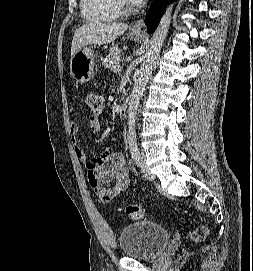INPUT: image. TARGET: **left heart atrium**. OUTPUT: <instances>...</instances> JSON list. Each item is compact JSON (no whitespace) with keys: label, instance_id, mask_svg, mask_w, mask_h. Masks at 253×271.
Here are the masks:
<instances>
[{"label":"left heart atrium","instance_id":"obj_1","mask_svg":"<svg viewBox=\"0 0 253 271\" xmlns=\"http://www.w3.org/2000/svg\"><path fill=\"white\" fill-rule=\"evenodd\" d=\"M132 1L134 4L139 5V4L143 3L145 0H132Z\"/></svg>","mask_w":253,"mask_h":271}]
</instances>
